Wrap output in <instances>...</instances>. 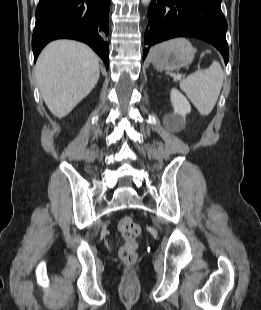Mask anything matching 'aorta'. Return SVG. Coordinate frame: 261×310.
Segmentation results:
<instances>
[{
    "instance_id": "762f6f07",
    "label": "aorta",
    "mask_w": 261,
    "mask_h": 310,
    "mask_svg": "<svg viewBox=\"0 0 261 310\" xmlns=\"http://www.w3.org/2000/svg\"><path fill=\"white\" fill-rule=\"evenodd\" d=\"M143 5H149L151 0H141Z\"/></svg>"
}]
</instances>
